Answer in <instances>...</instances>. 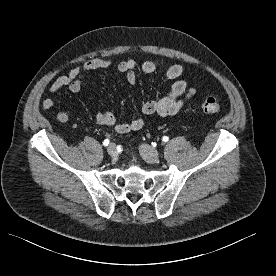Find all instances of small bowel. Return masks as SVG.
<instances>
[{"instance_id":"small-bowel-1","label":"small bowel","mask_w":276,"mask_h":276,"mask_svg":"<svg viewBox=\"0 0 276 276\" xmlns=\"http://www.w3.org/2000/svg\"><path fill=\"white\" fill-rule=\"evenodd\" d=\"M112 64L109 57H102L91 59L87 61L84 65L86 69L97 70L102 68H108ZM135 60L126 59L118 64V70L125 74L126 81L129 84H134L137 79V73L134 69ZM164 68L168 78L177 79L182 75L183 68L179 64H174L168 67H164L162 63L150 60L146 61L142 65V70L145 73H151L157 69ZM81 72V66H75L69 77L64 76L55 80L49 91L53 94L60 92L64 87H68L71 93H79L81 90L80 83L78 81H72L73 78L77 77ZM172 99H161L152 100L145 103L142 107V112L147 115L156 114L162 117L174 116L176 115L184 106L185 102L193 98L196 94L194 88L188 87L185 80H176L171 87ZM52 107V101L49 99L44 100L41 103V108L43 110H48ZM56 119L60 123L68 122V115L66 112L59 110L56 113ZM96 122L100 125L113 127L115 126L117 131L125 133L130 131H137L144 127L145 121L142 117H137L129 122L118 124L116 117L111 113L97 112L95 115Z\"/></svg>"}]
</instances>
